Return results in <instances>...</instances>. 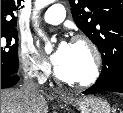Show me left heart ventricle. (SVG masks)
Returning a JSON list of instances; mask_svg holds the SVG:
<instances>
[{
    "instance_id": "b2bd125f",
    "label": "left heart ventricle",
    "mask_w": 123,
    "mask_h": 113,
    "mask_svg": "<svg viewBox=\"0 0 123 113\" xmlns=\"http://www.w3.org/2000/svg\"><path fill=\"white\" fill-rule=\"evenodd\" d=\"M91 55L82 44H71L67 58L57 66L61 75L71 79H84L91 72Z\"/></svg>"
}]
</instances>
